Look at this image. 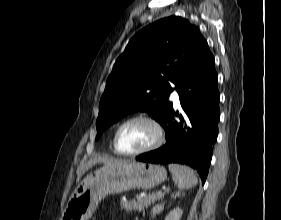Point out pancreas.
Returning a JSON list of instances; mask_svg holds the SVG:
<instances>
[{"label":"pancreas","mask_w":281,"mask_h":220,"mask_svg":"<svg viewBox=\"0 0 281 220\" xmlns=\"http://www.w3.org/2000/svg\"><path fill=\"white\" fill-rule=\"evenodd\" d=\"M163 197V192H153L144 197L137 196L136 199L132 200L121 199L120 205L121 209H124L127 213L132 211H142L144 208L149 207L151 204L155 203L156 200H161Z\"/></svg>","instance_id":"1"}]
</instances>
